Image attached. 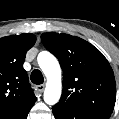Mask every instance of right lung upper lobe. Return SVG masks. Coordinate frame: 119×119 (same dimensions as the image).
Segmentation results:
<instances>
[{
  "label": "right lung upper lobe",
  "mask_w": 119,
  "mask_h": 119,
  "mask_svg": "<svg viewBox=\"0 0 119 119\" xmlns=\"http://www.w3.org/2000/svg\"><path fill=\"white\" fill-rule=\"evenodd\" d=\"M35 42L33 34L0 38V117L8 118L36 101L23 68L26 52Z\"/></svg>",
  "instance_id": "1"
}]
</instances>
